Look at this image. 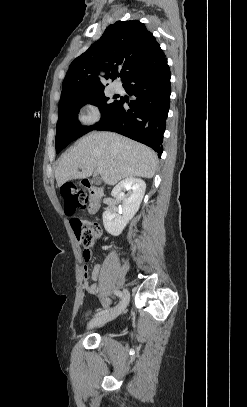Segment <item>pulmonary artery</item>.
<instances>
[{"label": "pulmonary artery", "mask_w": 247, "mask_h": 407, "mask_svg": "<svg viewBox=\"0 0 247 407\" xmlns=\"http://www.w3.org/2000/svg\"><path fill=\"white\" fill-rule=\"evenodd\" d=\"M114 90H115V92H121L122 91V86L120 84H115L114 85Z\"/></svg>", "instance_id": "obj_1"}]
</instances>
